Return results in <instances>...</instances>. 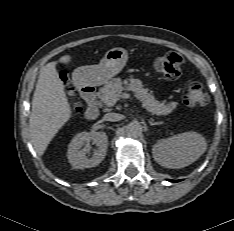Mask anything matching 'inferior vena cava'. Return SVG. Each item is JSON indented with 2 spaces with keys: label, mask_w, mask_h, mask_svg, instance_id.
I'll return each mask as SVG.
<instances>
[{
  "label": "inferior vena cava",
  "mask_w": 234,
  "mask_h": 231,
  "mask_svg": "<svg viewBox=\"0 0 234 231\" xmlns=\"http://www.w3.org/2000/svg\"><path fill=\"white\" fill-rule=\"evenodd\" d=\"M104 119L106 121H111V122H115V121H119L121 119V115L118 113H107L104 115Z\"/></svg>",
  "instance_id": "inferior-vena-cava-1"
}]
</instances>
